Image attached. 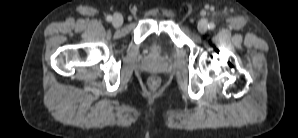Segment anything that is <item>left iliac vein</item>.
<instances>
[{
  "label": "left iliac vein",
  "mask_w": 298,
  "mask_h": 138,
  "mask_svg": "<svg viewBox=\"0 0 298 138\" xmlns=\"http://www.w3.org/2000/svg\"><path fill=\"white\" fill-rule=\"evenodd\" d=\"M208 29V23L207 20L202 19L198 23V30L200 33H205Z\"/></svg>",
  "instance_id": "obj_1"
}]
</instances>
